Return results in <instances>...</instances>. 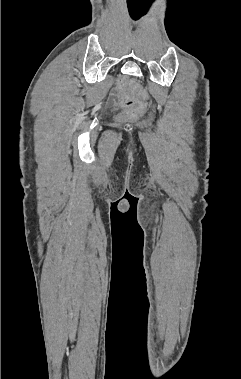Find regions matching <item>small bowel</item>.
Returning <instances> with one entry per match:
<instances>
[{
    "instance_id": "c3829d8e",
    "label": "small bowel",
    "mask_w": 241,
    "mask_h": 379,
    "mask_svg": "<svg viewBox=\"0 0 241 379\" xmlns=\"http://www.w3.org/2000/svg\"><path fill=\"white\" fill-rule=\"evenodd\" d=\"M109 103H110V105L115 104V99H114V98H111V99L109 100Z\"/></svg>"
}]
</instances>
